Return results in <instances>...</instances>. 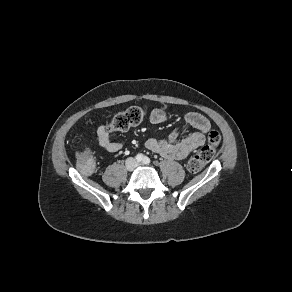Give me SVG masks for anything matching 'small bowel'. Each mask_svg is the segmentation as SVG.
<instances>
[{
  "label": "small bowel",
  "mask_w": 292,
  "mask_h": 292,
  "mask_svg": "<svg viewBox=\"0 0 292 292\" xmlns=\"http://www.w3.org/2000/svg\"><path fill=\"white\" fill-rule=\"evenodd\" d=\"M166 120L167 113L162 108H156L150 114L152 124H163ZM184 123L186 126L194 128L195 131L179 141H176L178 130L173 131L165 139L149 138L146 141V147L168 159H184L204 144L205 136L211 128L209 120L197 112L187 113L184 117ZM97 136L100 146L107 152L117 153L122 149V144L110 139L109 131L105 125L98 127Z\"/></svg>",
  "instance_id": "c3829d8e"
}]
</instances>
